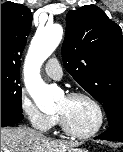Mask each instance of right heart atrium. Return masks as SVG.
<instances>
[{
	"instance_id": "d8ad5b80",
	"label": "right heart atrium",
	"mask_w": 123,
	"mask_h": 152,
	"mask_svg": "<svg viewBox=\"0 0 123 152\" xmlns=\"http://www.w3.org/2000/svg\"><path fill=\"white\" fill-rule=\"evenodd\" d=\"M20 107L27 120L40 130L47 131L57 122L56 115H50L42 112L35 103L26 95L20 99Z\"/></svg>"
}]
</instances>
